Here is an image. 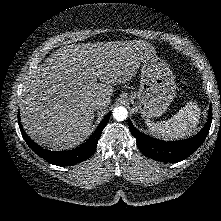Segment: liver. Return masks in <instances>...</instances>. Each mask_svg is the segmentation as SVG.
<instances>
[{"label":"liver","mask_w":221,"mask_h":221,"mask_svg":"<svg viewBox=\"0 0 221 221\" xmlns=\"http://www.w3.org/2000/svg\"><path fill=\"white\" fill-rule=\"evenodd\" d=\"M154 53L144 41L62 46L24 82L20 112L25 131L43 147H76L90 133L93 103L102 99L106 108L113 85L129 81L140 62Z\"/></svg>","instance_id":"liver-1"}]
</instances>
